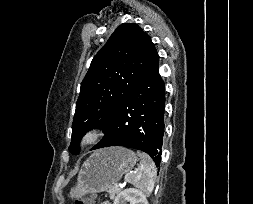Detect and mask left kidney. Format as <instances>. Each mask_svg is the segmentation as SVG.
Instances as JSON below:
<instances>
[{
    "label": "left kidney",
    "instance_id": "obj_1",
    "mask_svg": "<svg viewBox=\"0 0 253 204\" xmlns=\"http://www.w3.org/2000/svg\"><path fill=\"white\" fill-rule=\"evenodd\" d=\"M148 204L146 195L135 188H128L121 191L118 196L115 198L113 204Z\"/></svg>",
    "mask_w": 253,
    "mask_h": 204
}]
</instances>
